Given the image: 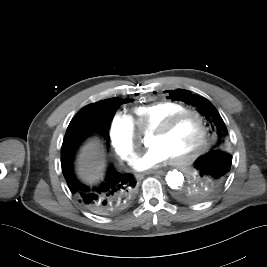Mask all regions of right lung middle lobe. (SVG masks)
<instances>
[{
  "mask_svg": "<svg viewBox=\"0 0 267 267\" xmlns=\"http://www.w3.org/2000/svg\"><path fill=\"white\" fill-rule=\"evenodd\" d=\"M127 102L126 100H118L117 98L113 99H107L102 102L101 107L103 108V111L106 115L113 117L115 114V111L119 108V106ZM104 138L107 141V144L109 143V136H108V130L104 133Z\"/></svg>",
  "mask_w": 267,
  "mask_h": 267,
  "instance_id": "right-lung-middle-lobe-1",
  "label": "right lung middle lobe"
}]
</instances>
